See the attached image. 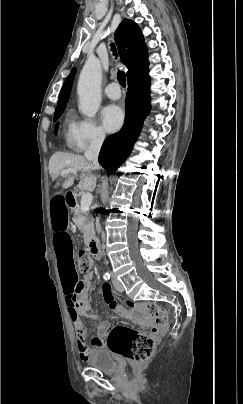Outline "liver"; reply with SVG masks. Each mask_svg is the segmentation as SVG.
I'll use <instances>...</instances> for the list:
<instances>
[{"label":"liver","mask_w":243,"mask_h":404,"mask_svg":"<svg viewBox=\"0 0 243 404\" xmlns=\"http://www.w3.org/2000/svg\"><path fill=\"white\" fill-rule=\"evenodd\" d=\"M63 170H82L81 182L78 184L79 190H87L93 192L96 186V178L90 174L94 170L93 164L86 160L84 156H76V154H67V152H56L49 160V172L52 180H56ZM74 182V176H68L65 182L61 184L62 188H70ZM59 186L56 184L55 188Z\"/></svg>","instance_id":"1"}]
</instances>
